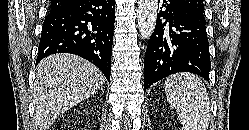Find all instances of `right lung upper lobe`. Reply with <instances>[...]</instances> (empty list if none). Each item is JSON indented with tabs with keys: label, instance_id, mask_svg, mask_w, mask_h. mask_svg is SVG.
<instances>
[{
	"label": "right lung upper lobe",
	"instance_id": "cb5924a9",
	"mask_svg": "<svg viewBox=\"0 0 249 130\" xmlns=\"http://www.w3.org/2000/svg\"><path fill=\"white\" fill-rule=\"evenodd\" d=\"M76 0H52L50 6V13L62 10L63 8L71 5Z\"/></svg>",
	"mask_w": 249,
	"mask_h": 130
}]
</instances>
